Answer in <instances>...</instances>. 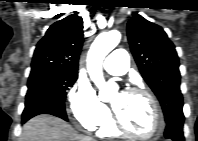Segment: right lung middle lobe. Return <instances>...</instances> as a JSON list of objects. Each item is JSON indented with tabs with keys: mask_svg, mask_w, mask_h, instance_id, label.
I'll return each instance as SVG.
<instances>
[{
	"mask_svg": "<svg viewBox=\"0 0 198 141\" xmlns=\"http://www.w3.org/2000/svg\"><path fill=\"white\" fill-rule=\"evenodd\" d=\"M77 73L43 71L31 73L28 80L25 107L45 105L65 111L64 101Z\"/></svg>",
	"mask_w": 198,
	"mask_h": 141,
	"instance_id": "right-lung-middle-lobe-1",
	"label": "right lung middle lobe"
}]
</instances>
